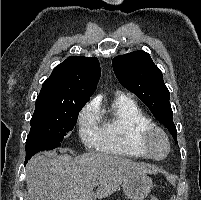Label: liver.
<instances>
[{"label":"liver","mask_w":201,"mask_h":200,"mask_svg":"<svg viewBox=\"0 0 201 200\" xmlns=\"http://www.w3.org/2000/svg\"><path fill=\"white\" fill-rule=\"evenodd\" d=\"M26 172L28 200H97L112 195L126 178L153 170L106 153L72 157L49 152L32 158ZM93 181L98 183L96 192Z\"/></svg>","instance_id":"1"}]
</instances>
